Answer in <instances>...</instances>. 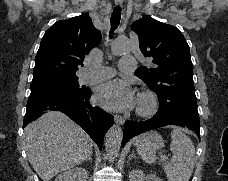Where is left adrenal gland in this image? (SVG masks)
Returning <instances> with one entry per match:
<instances>
[{
  "instance_id": "a2214340",
  "label": "left adrenal gland",
  "mask_w": 228,
  "mask_h": 181,
  "mask_svg": "<svg viewBox=\"0 0 228 181\" xmlns=\"http://www.w3.org/2000/svg\"><path fill=\"white\" fill-rule=\"evenodd\" d=\"M132 159H137V157H135L134 153H132V155H130L128 161H132Z\"/></svg>"
}]
</instances>
